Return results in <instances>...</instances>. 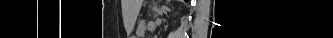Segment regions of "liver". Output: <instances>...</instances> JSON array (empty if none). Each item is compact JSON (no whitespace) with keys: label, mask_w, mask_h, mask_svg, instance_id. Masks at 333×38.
I'll list each match as a JSON object with an SVG mask.
<instances>
[{"label":"liver","mask_w":333,"mask_h":38,"mask_svg":"<svg viewBox=\"0 0 333 38\" xmlns=\"http://www.w3.org/2000/svg\"><path fill=\"white\" fill-rule=\"evenodd\" d=\"M142 3H143V0H134L133 18H135L138 15V13L141 9Z\"/></svg>","instance_id":"1"}]
</instances>
